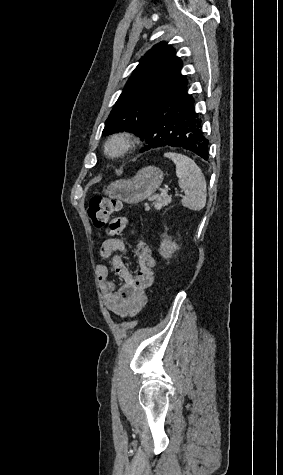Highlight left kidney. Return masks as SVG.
<instances>
[{
	"mask_svg": "<svg viewBox=\"0 0 283 475\" xmlns=\"http://www.w3.org/2000/svg\"><path fill=\"white\" fill-rule=\"evenodd\" d=\"M179 245L176 241H171V239H162L159 253L163 257H171L172 253L178 249Z\"/></svg>",
	"mask_w": 283,
	"mask_h": 475,
	"instance_id": "1",
	"label": "left kidney"
}]
</instances>
